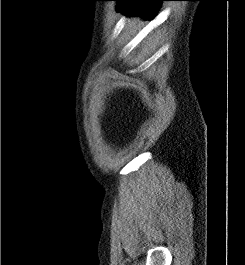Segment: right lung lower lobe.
<instances>
[{
    "label": "right lung lower lobe",
    "mask_w": 245,
    "mask_h": 265,
    "mask_svg": "<svg viewBox=\"0 0 245 265\" xmlns=\"http://www.w3.org/2000/svg\"><path fill=\"white\" fill-rule=\"evenodd\" d=\"M118 1V11L126 15L142 14L148 19L154 18L160 2L164 0H115Z\"/></svg>",
    "instance_id": "1"
}]
</instances>
